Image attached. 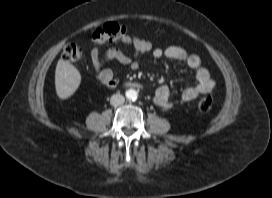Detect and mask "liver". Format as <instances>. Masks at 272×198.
<instances>
[{
	"mask_svg": "<svg viewBox=\"0 0 272 198\" xmlns=\"http://www.w3.org/2000/svg\"><path fill=\"white\" fill-rule=\"evenodd\" d=\"M81 75L69 61L59 59L55 70V89L60 99L71 97L78 89Z\"/></svg>",
	"mask_w": 272,
	"mask_h": 198,
	"instance_id": "1",
	"label": "liver"
}]
</instances>
